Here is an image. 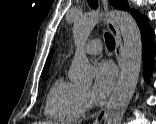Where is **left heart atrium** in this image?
Segmentation results:
<instances>
[{"mask_svg":"<svg viewBox=\"0 0 156 124\" xmlns=\"http://www.w3.org/2000/svg\"><path fill=\"white\" fill-rule=\"evenodd\" d=\"M116 76V69L111 62L103 61L96 66L93 94L97 99H103L112 92Z\"/></svg>","mask_w":156,"mask_h":124,"instance_id":"39dd6f15","label":"left heart atrium"}]
</instances>
